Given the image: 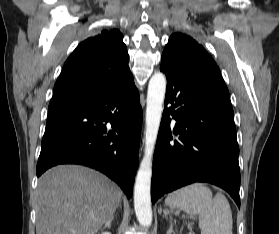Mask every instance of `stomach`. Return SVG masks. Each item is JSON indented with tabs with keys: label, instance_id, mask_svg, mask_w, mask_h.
<instances>
[{
	"label": "stomach",
	"instance_id": "1",
	"mask_svg": "<svg viewBox=\"0 0 279 234\" xmlns=\"http://www.w3.org/2000/svg\"><path fill=\"white\" fill-rule=\"evenodd\" d=\"M164 213H165V214H168V213H169V210H164Z\"/></svg>",
	"mask_w": 279,
	"mask_h": 234
}]
</instances>
